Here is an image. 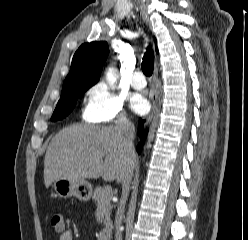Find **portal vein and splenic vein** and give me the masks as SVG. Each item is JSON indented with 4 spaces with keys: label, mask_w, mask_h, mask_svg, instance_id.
<instances>
[{
    "label": "portal vein and splenic vein",
    "mask_w": 248,
    "mask_h": 240,
    "mask_svg": "<svg viewBox=\"0 0 248 240\" xmlns=\"http://www.w3.org/2000/svg\"><path fill=\"white\" fill-rule=\"evenodd\" d=\"M104 190H105L106 194L112 195V187L111 186H109V185L105 186Z\"/></svg>",
    "instance_id": "18ae733b"
}]
</instances>
